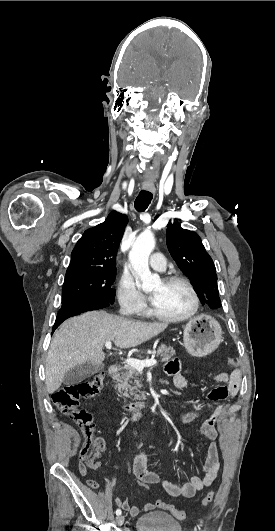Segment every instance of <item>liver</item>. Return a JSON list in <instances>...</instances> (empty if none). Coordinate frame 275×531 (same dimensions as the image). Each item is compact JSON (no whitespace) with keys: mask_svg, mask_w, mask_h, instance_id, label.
<instances>
[{"mask_svg":"<svg viewBox=\"0 0 275 531\" xmlns=\"http://www.w3.org/2000/svg\"><path fill=\"white\" fill-rule=\"evenodd\" d=\"M168 323L131 321L106 311H89L72 317L60 325L51 341L46 359L45 385L55 393L62 385L65 373L79 365H101L105 359L103 347L114 341L120 349L137 347L167 329Z\"/></svg>","mask_w":275,"mask_h":531,"instance_id":"1","label":"liver"}]
</instances>
